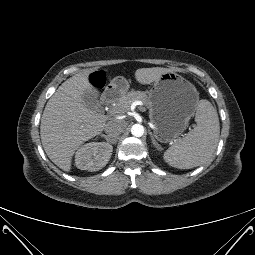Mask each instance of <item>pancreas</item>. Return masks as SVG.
<instances>
[{
  "label": "pancreas",
  "mask_w": 255,
  "mask_h": 255,
  "mask_svg": "<svg viewBox=\"0 0 255 255\" xmlns=\"http://www.w3.org/2000/svg\"><path fill=\"white\" fill-rule=\"evenodd\" d=\"M142 101L145 105L148 103V97L145 92L130 91L123 95L114 105L113 109L116 113L122 114L128 110L134 101Z\"/></svg>",
  "instance_id": "pancreas-1"
}]
</instances>
